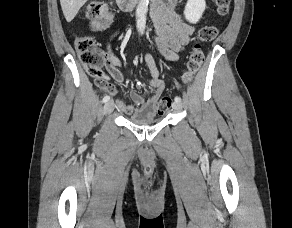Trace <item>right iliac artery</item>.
Segmentation results:
<instances>
[{"mask_svg": "<svg viewBox=\"0 0 292 228\" xmlns=\"http://www.w3.org/2000/svg\"><path fill=\"white\" fill-rule=\"evenodd\" d=\"M110 100V96H108V95H106V96H104V98H103V102H108Z\"/></svg>", "mask_w": 292, "mask_h": 228, "instance_id": "obj_1", "label": "right iliac artery"}]
</instances>
